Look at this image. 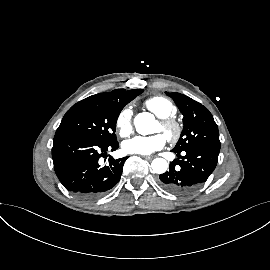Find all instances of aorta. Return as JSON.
Wrapping results in <instances>:
<instances>
[{"label": "aorta", "instance_id": "1", "mask_svg": "<svg viewBox=\"0 0 270 270\" xmlns=\"http://www.w3.org/2000/svg\"><path fill=\"white\" fill-rule=\"evenodd\" d=\"M136 131L141 135L151 134L155 125V118L150 113H139L134 118ZM151 168L154 173L162 174L166 172L168 163L163 158H155L151 163Z\"/></svg>", "mask_w": 270, "mask_h": 270}]
</instances>
